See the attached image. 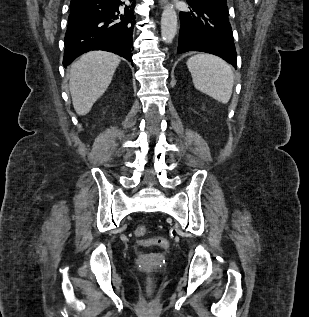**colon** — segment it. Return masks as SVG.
<instances>
[{"mask_svg":"<svg viewBox=\"0 0 309 317\" xmlns=\"http://www.w3.org/2000/svg\"><path fill=\"white\" fill-rule=\"evenodd\" d=\"M134 233L137 237H143L147 233V228L143 225H139L135 228ZM140 244L143 246H159L165 249L169 248L170 246L169 241L163 237H153L146 240H142L140 241ZM146 289L148 294H151L153 292L154 281L152 277H148Z\"/></svg>","mask_w":309,"mask_h":317,"instance_id":"5ec220e1","label":"colon"}]
</instances>
